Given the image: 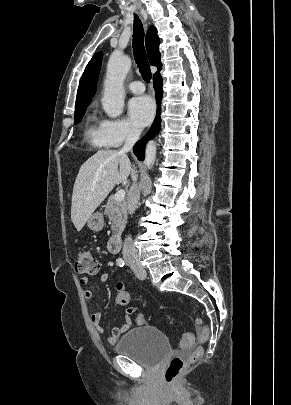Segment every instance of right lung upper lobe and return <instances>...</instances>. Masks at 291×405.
Here are the masks:
<instances>
[{
	"label": "right lung upper lobe",
	"mask_w": 291,
	"mask_h": 405,
	"mask_svg": "<svg viewBox=\"0 0 291 405\" xmlns=\"http://www.w3.org/2000/svg\"><path fill=\"white\" fill-rule=\"evenodd\" d=\"M159 44L160 40L157 35V29L154 26H151L146 34V49L150 64L158 68L156 73H159L162 69ZM101 61L102 52H98L87 64L80 79L75 103V110L86 108L90 104L91 98L96 92V83L98 81Z\"/></svg>",
	"instance_id": "right-lung-upper-lobe-1"
}]
</instances>
